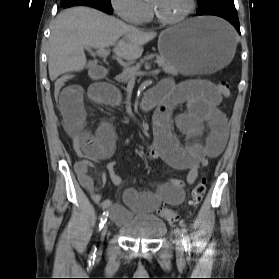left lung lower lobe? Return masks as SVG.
Masks as SVG:
<instances>
[{
    "label": "left lung lower lobe",
    "instance_id": "1",
    "mask_svg": "<svg viewBox=\"0 0 279 279\" xmlns=\"http://www.w3.org/2000/svg\"><path fill=\"white\" fill-rule=\"evenodd\" d=\"M197 15H214L222 17L229 21L240 34L239 19L233 0H222L214 2L204 9L199 10L197 12Z\"/></svg>",
    "mask_w": 279,
    "mask_h": 279
}]
</instances>
